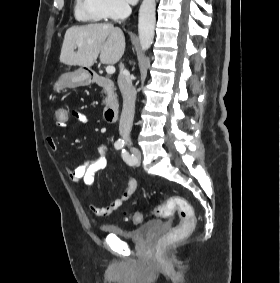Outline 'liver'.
I'll use <instances>...</instances> for the list:
<instances>
[{
  "instance_id": "1",
  "label": "liver",
  "mask_w": 280,
  "mask_h": 283,
  "mask_svg": "<svg viewBox=\"0 0 280 283\" xmlns=\"http://www.w3.org/2000/svg\"><path fill=\"white\" fill-rule=\"evenodd\" d=\"M124 51V34L112 24L73 26L65 33L60 62L90 68L100 55L101 63L113 65L121 59Z\"/></svg>"
}]
</instances>
